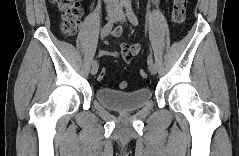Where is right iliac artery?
Wrapping results in <instances>:
<instances>
[{
    "mask_svg": "<svg viewBox=\"0 0 239 156\" xmlns=\"http://www.w3.org/2000/svg\"><path fill=\"white\" fill-rule=\"evenodd\" d=\"M123 6H124L123 3L119 4L118 9L122 10ZM115 19H116V16L113 17L111 20H109V21L105 24V26H104L103 29H102V36H103V37H106V36H108V35L110 34V32H111V30H112V28H113V25H114V23H115ZM96 63H97V60L95 59V60H93L92 65H93V64H96Z\"/></svg>",
    "mask_w": 239,
    "mask_h": 156,
    "instance_id": "82829eb1",
    "label": "right iliac artery"
}]
</instances>
